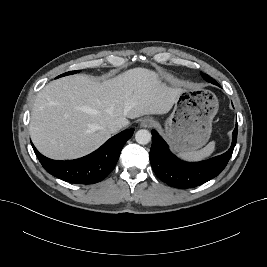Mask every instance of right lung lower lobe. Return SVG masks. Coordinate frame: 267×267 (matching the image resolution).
<instances>
[{
    "label": "right lung lower lobe",
    "instance_id": "right-lung-lower-lobe-1",
    "mask_svg": "<svg viewBox=\"0 0 267 267\" xmlns=\"http://www.w3.org/2000/svg\"><path fill=\"white\" fill-rule=\"evenodd\" d=\"M127 129L110 138L93 153L75 160L57 161L43 156L32 144L44 169L53 176L75 184H93L107 177L119 159L121 150L133 135Z\"/></svg>",
    "mask_w": 267,
    "mask_h": 267
}]
</instances>
